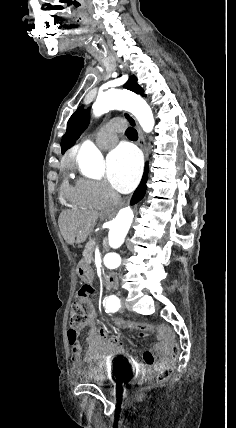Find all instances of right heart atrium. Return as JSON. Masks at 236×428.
<instances>
[{"instance_id": "obj_1", "label": "right heart atrium", "mask_w": 236, "mask_h": 428, "mask_svg": "<svg viewBox=\"0 0 236 428\" xmlns=\"http://www.w3.org/2000/svg\"><path fill=\"white\" fill-rule=\"evenodd\" d=\"M82 189L88 197L101 206L117 199V194L101 181L83 180Z\"/></svg>"}]
</instances>
